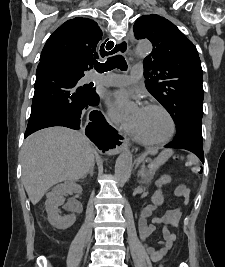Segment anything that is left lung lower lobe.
Segmentation results:
<instances>
[{
  "instance_id": "left-lung-lower-lobe-1",
  "label": "left lung lower lobe",
  "mask_w": 225,
  "mask_h": 267,
  "mask_svg": "<svg viewBox=\"0 0 225 267\" xmlns=\"http://www.w3.org/2000/svg\"><path fill=\"white\" fill-rule=\"evenodd\" d=\"M201 119L199 117L190 119L186 126L176 134L174 140L165 147L189 150L204 163Z\"/></svg>"
}]
</instances>
